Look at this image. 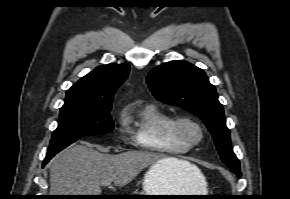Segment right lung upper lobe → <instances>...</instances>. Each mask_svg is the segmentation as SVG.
<instances>
[{
	"label": "right lung upper lobe",
	"instance_id": "right-lung-upper-lobe-1",
	"mask_svg": "<svg viewBox=\"0 0 290 199\" xmlns=\"http://www.w3.org/2000/svg\"><path fill=\"white\" fill-rule=\"evenodd\" d=\"M128 72L127 64L98 66L67 90L62 108L111 106L114 93Z\"/></svg>",
	"mask_w": 290,
	"mask_h": 199
}]
</instances>
